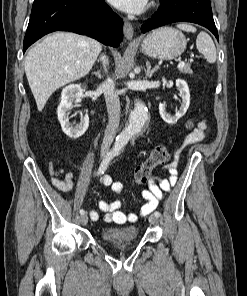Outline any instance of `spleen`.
<instances>
[{"label":"spleen","mask_w":247,"mask_h":296,"mask_svg":"<svg viewBox=\"0 0 247 296\" xmlns=\"http://www.w3.org/2000/svg\"><path fill=\"white\" fill-rule=\"evenodd\" d=\"M177 27L185 32H196V28L187 23L178 24ZM196 47L202 53L208 63H215L217 59L216 47L212 38L204 31H201L196 39Z\"/></svg>","instance_id":"1"}]
</instances>
